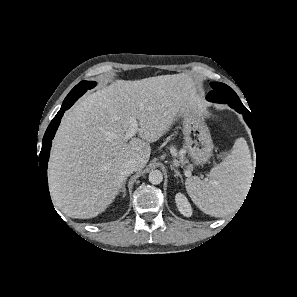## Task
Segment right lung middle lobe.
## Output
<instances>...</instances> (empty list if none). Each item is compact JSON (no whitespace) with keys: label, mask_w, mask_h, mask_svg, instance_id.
<instances>
[{"label":"right lung middle lobe","mask_w":297,"mask_h":297,"mask_svg":"<svg viewBox=\"0 0 297 297\" xmlns=\"http://www.w3.org/2000/svg\"><path fill=\"white\" fill-rule=\"evenodd\" d=\"M95 85L96 83L92 81H81L64 99L61 109L65 107L70 108L81 95H83L88 89L95 87Z\"/></svg>","instance_id":"right-lung-middle-lobe-1"}]
</instances>
